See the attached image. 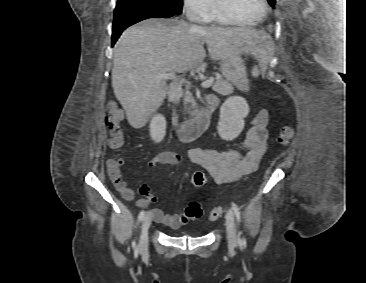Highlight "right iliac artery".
<instances>
[{"label": "right iliac artery", "instance_id": "right-iliac-artery-1", "mask_svg": "<svg viewBox=\"0 0 366 283\" xmlns=\"http://www.w3.org/2000/svg\"><path fill=\"white\" fill-rule=\"evenodd\" d=\"M144 215H145V211H144V210H142V211L139 213V216H138L139 221H142V220H143ZM132 246H133L134 250H135V251H137V249H138V248H137V244H136V242H135V241L132 243Z\"/></svg>", "mask_w": 366, "mask_h": 283}]
</instances>
